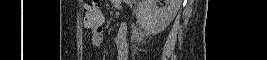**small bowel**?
<instances>
[{"instance_id":"1","label":"small bowel","mask_w":267,"mask_h":60,"mask_svg":"<svg viewBox=\"0 0 267 60\" xmlns=\"http://www.w3.org/2000/svg\"><path fill=\"white\" fill-rule=\"evenodd\" d=\"M121 0H113L112 3L116 7H120L122 5ZM103 22V17H102ZM127 33H128V26L126 23H121L118 32L115 38V44L117 48V60H128L129 57V48L127 43ZM91 44L95 48H100L103 43V26L102 23L97 28L91 29V36H90Z\"/></svg>"}]
</instances>
